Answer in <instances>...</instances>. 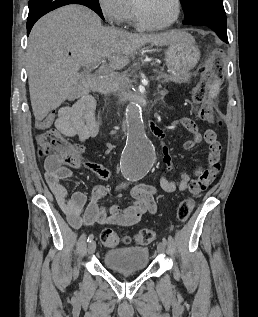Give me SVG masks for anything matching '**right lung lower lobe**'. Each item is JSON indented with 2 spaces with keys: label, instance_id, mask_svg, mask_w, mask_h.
Returning <instances> with one entry per match:
<instances>
[{
  "label": "right lung lower lobe",
  "instance_id": "98d812e1",
  "mask_svg": "<svg viewBox=\"0 0 258 317\" xmlns=\"http://www.w3.org/2000/svg\"><path fill=\"white\" fill-rule=\"evenodd\" d=\"M68 4H81L87 6L104 20L98 0H29L27 35H29L31 28L40 17L58 7Z\"/></svg>",
  "mask_w": 258,
  "mask_h": 317
}]
</instances>
